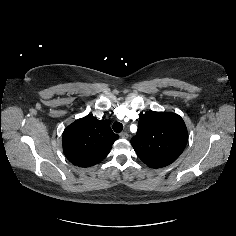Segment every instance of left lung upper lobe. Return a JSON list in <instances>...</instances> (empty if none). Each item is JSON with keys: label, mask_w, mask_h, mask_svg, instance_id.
<instances>
[{"label": "left lung upper lobe", "mask_w": 236, "mask_h": 236, "mask_svg": "<svg viewBox=\"0 0 236 236\" xmlns=\"http://www.w3.org/2000/svg\"><path fill=\"white\" fill-rule=\"evenodd\" d=\"M187 140L188 132L179 115L151 111L140 117L136 136L131 143L146 165L161 168L180 156Z\"/></svg>", "instance_id": "1"}]
</instances>
